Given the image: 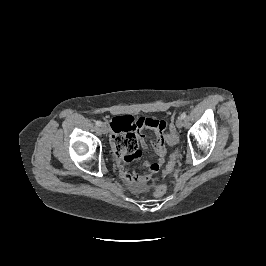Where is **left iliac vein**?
I'll list each match as a JSON object with an SVG mask.
<instances>
[{
    "instance_id": "left-iliac-vein-1",
    "label": "left iliac vein",
    "mask_w": 266,
    "mask_h": 266,
    "mask_svg": "<svg viewBox=\"0 0 266 266\" xmlns=\"http://www.w3.org/2000/svg\"><path fill=\"white\" fill-rule=\"evenodd\" d=\"M184 125V121L182 118H178L177 121H176V126L177 128H182Z\"/></svg>"
}]
</instances>
